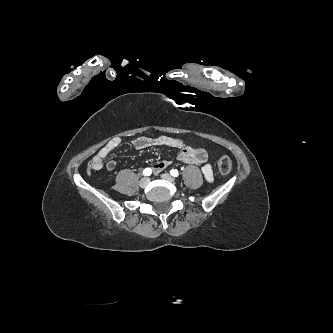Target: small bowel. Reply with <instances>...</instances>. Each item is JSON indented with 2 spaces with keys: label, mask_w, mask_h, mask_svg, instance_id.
Returning <instances> with one entry per match:
<instances>
[{
  "label": "small bowel",
  "mask_w": 333,
  "mask_h": 333,
  "mask_svg": "<svg viewBox=\"0 0 333 333\" xmlns=\"http://www.w3.org/2000/svg\"><path fill=\"white\" fill-rule=\"evenodd\" d=\"M121 143L119 137L112 138L105 146H103L97 154L92 158L89 167L93 170H100L104 164L107 170L112 171L116 167L114 160H107L111 152H113ZM136 149L143 150L151 147L170 146L179 149L177 159L186 164L202 165L201 170L208 182L213 181V170L210 164L206 163L207 153L204 148L193 147L187 145L184 140L176 137L162 135L158 137H138L132 141ZM106 162V163H105ZM170 165L169 160H161L153 166V172L158 174Z\"/></svg>",
  "instance_id": "1"
}]
</instances>
